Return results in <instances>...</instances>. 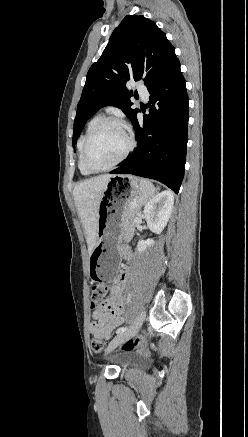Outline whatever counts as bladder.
Returning <instances> with one entry per match:
<instances>
[{
	"instance_id": "obj_1",
	"label": "bladder",
	"mask_w": 248,
	"mask_h": 437,
	"mask_svg": "<svg viewBox=\"0 0 248 437\" xmlns=\"http://www.w3.org/2000/svg\"><path fill=\"white\" fill-rule=\"evenodd\" d=\"M139 356L138 355H135V354H133V355H129V356H127L125 359H124V361H131V360H133V359H135V358H138Z\"/></svg>"
}]
</instances>
